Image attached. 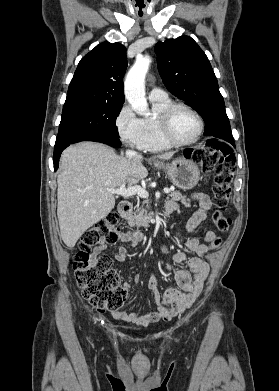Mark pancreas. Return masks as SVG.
Wrapping results in <instances>:
<instances>
[{
    "instance_id": "cf45deb5",
    "label": "pancreas",
    "mask_w": 279,
    "mask_h": 391,
    "mask_svg": "<svg viewBox=\"0 0 279 391\" xmlns=\"http://www.w3.org/2000/svg\"><path fill=\"white\" fill-rule=\"evenodd\" d=\"M170 197L173 201H180L182 204L187 206L190 205V200L186 199V196L183 195L180 191H173L170 194ZM149 209L150 205L147 201H144L143 205L141 207H137L133 213V216L128 220L129 225L147 228L154 215L152 212H148Z\"/></svg>"
}]
</instances>
